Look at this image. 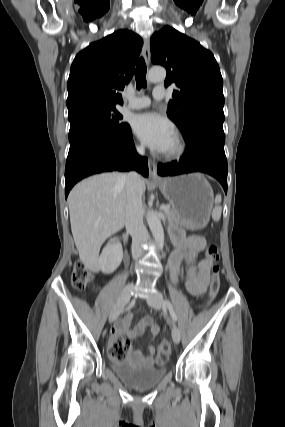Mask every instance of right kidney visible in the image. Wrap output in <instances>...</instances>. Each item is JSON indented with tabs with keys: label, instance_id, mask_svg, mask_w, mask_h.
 Segmentation results:
<instances>
[{
	"label": "right kidney",
	"instance_id": "ca27d5eb",
	"mask_svg": "<svg viewBox=\"0 0 285 427\" xmlns=\"http://www.w3.org/2000/svg\"><path fill=\"white\" fill-rule=\"evenodd\" d=\"M123 258L121 244H108L103 250L98 260V266L102 273L110 274L120 265Z\"/></svg>",
	"mask_w": 285,
	"mask_h": 427
}]
</instances>
